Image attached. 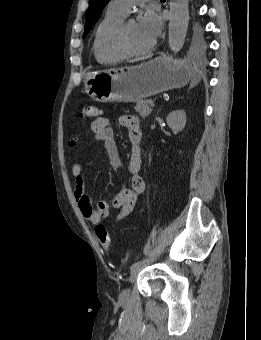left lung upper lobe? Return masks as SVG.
Segmentation results:
<instances>
[{
  "mask_svg": "<svg viewBox=\"0 0 261 340\" xmlns=\"http://www.w3.org/2000/svg\"><path fill=\"white\" fill-rule=\"evenodd\" d=\"M110 0H90L88 13L85 21L83 38L89 32L93 23L97 20L102 10ZM192 41L195 45L202 44V29L198 23H195L192 29Z\"/></svg>",
  "mask_w": 261,
  "mask_h": 340,
  "instance_id": "5c2ea615",
  "label": "left lung upper lobe"
}]
</instances>
